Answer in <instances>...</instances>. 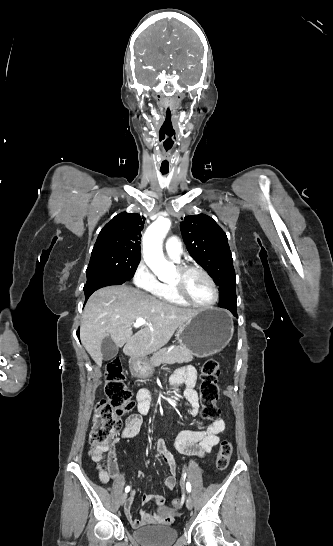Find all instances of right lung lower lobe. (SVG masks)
<instances>
[{"mask_svg":"<svg viewBox=\"0 0 333 546\" xmlns=\"http://www.w3.org/2000/svg\"><path fill=\"white\" fill-rule=\"evenodd\" d=\"M126 282L115 277L106 276V275H92L87 278V282L84 286L85 293V303L90 295L99 288L109 286V285H119Z\"/></svg>","mask_w":333,"mask_h":546,"instance_id":"obj_1","label":"right lung lower lobe"}]
</instances>
